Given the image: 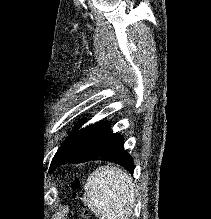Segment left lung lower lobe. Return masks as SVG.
<instances>
[{"mask_svg":"<svg viewBox=\"0 0 211 219\" xmlns=\"http://www.w3.org/2000/svg\"><path fill=\"white\" fill-rule=\"evenodd\" d=\"M84 122V121H83ZM82 121L80 124L83 123ZM109 160L134 171L132 157L123 148V137L110 130L109 122L95 123L71 132L55 154L50 170L65 163Z\"/></svg>","mask_w":211,"mask_h":219,"instance_id":"1","label":"left lung lower lobe"}]
</instances>
